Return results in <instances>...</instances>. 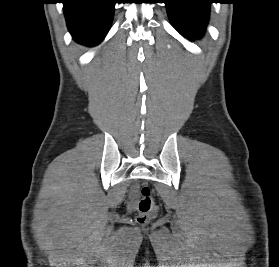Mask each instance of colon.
Masks as SVG:
<instances>
[{"mask_svg":"<svg viewBox=\"0 0 279 267\" xmlns=\"http://www.w3.org/2000/svg\"><path fill=\"white\" fill-rule=\"evenodd\" d=\"M137 222L139 224L148 223L156 214V205L148 186L144 185L141 188V198L138 202Z\"/></svg>","mask_w":279,"mask_h":267,"instance_id":"5ec220e1","label":"colon"}]
</instances>
